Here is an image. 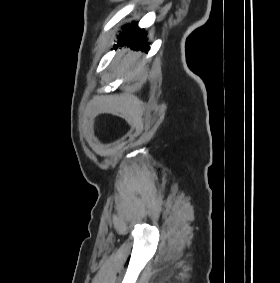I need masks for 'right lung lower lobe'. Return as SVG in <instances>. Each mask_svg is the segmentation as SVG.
<instances>
[{"label": "right lung lower lobe", "mask_w": 280, "mask_h": 283, "mask_svg": "<svg viewBox=\"0 0 280 283\" xmlns=\"http://www.w3.org/2000/svg\"><path fill=\"white\" fill-rule=\"evenodd\" d=\"M118 42L122 45H130L133 49L144 51L149 49L144 30L139 29L136 24L125 26L123 32L119 35Z\"/></svg>", "instance_id": "1"}]
</instances>
